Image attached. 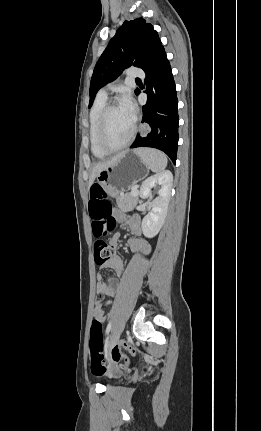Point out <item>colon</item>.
<instances>
[{
  "label": "colon",
  "mask_w": 261,
  "mask_h": 431,
  "mask_svg": "<svg viewBox=\"0 0 261 431\" xmlns=\"http://www.w3.org/2000/svg\"><path fill=\"white\" fill-rule=\"evenodd\" d=\"M89 214L92 219V231L97 238L94 246V258L97 265L109 260L115 253L112 246L108 245L103 237L107 236L115 227V220L112 217L111 203L106 198L103 188L99 184H94L90 189ZM97 302H101L98 299ZM102 332L103 325L99 320L94 319L90 332V356L91 368L95 373L96 381L104 380V373H109V377L118 379L120 373L126 370V366L131 364L129 357H124L121 348H126L127 352H135L133 343H116L107 356L109 364L105 366L102 354Z\"/></svg>",
  "instance_id": "obj_1"
}]
</instances>
